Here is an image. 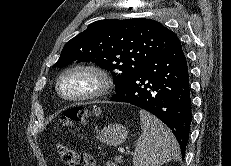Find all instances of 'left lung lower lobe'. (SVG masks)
Instances as JSON below:
<instances>
[{
  "label": "left lung lower lobe",
  "mask_w": 231,
  "mask_h": 166,
  "mask_svg": "<svg viewBox=\"0 0 231 166\" xmlns=\"http://www.w3.org/2000/svg\"><path fill=\"white\" fill-rule=\"evenodd\" d=\"M110 101L130 103L161 119L176 136L184 158L192 114L188 66L177 35Z\"/></svg>",
  "instance_id": "obj_1"
}]
</instances>
